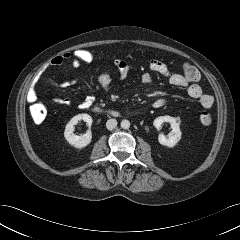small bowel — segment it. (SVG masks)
<instances>
[{"label": "small bowel", "instance_id": "c3829d8e", "mask_svg": "<svg viewBox=\"0 0 240 240\" xmlns=\"http://www.w3.org/2000/svg\"><path fill=\"white\" fill-rule=\"evenodd\" d=\"M67 55H68L67 53H63L53 57L49 61V65L51 66L61 65L62 63L69 61V58ZM115 65L118 70V77L122 80L126 79L130 71V67L128 63H126L123 60H116ZM149 70L150 72H144L141 75L142 83L144 84L151 83L153 80L152 73L159 74L167 78L171 85L175 87L187 88V93L189 97L197 99L204 108H210L214 104L213 96L204 93L200 85L196 83L190 84V81H188L183 74L171 72L167 67V65L162 61L157 59H151L149 61ZM111 81L112 79L109 72L107 70H102L98 76V82L100 86L104 90H108L111 86ZM37 82L38 80H35L27 92L26 98L28 102H35L37 99V92H36ZM50 82L62 88H67L75 84L74 80H68V79L61 80L60 82H54V81H50ZM54 101L60 105L68 106L71 104V101L68 98H58V99H55ZM166 101L167 99L165 97H159L154 101L153 106L155 108L162 107L166 103ZM92 103H93V97L89 96L83 102H81L78 105V107L80 109H87L91 106Z\"/></svg>", "mask_w": 240, "mask_h": 240}]
</instances>
